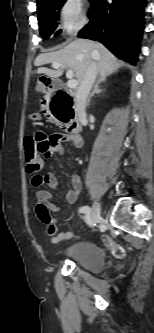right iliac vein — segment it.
Instances as JSON below:
<instances>
[{
  "label": "right iliac vein",
  "mask_w": 154,
  "mask_h": 333,
  "mask_svg": "<svg viewBox=\"0 0 154 333\" xmlns=\"http://www.w3.org/2000/svg\"><path fill=\"white\" fill-rule=\"evenodd\" d=\"M100 215H101V206L99 202H95L92 208V213H91V217H92V222L96 223L99 221L100 219Z\"/></svg>",
  "instance_id": "obj_1"
}]
</instances>
